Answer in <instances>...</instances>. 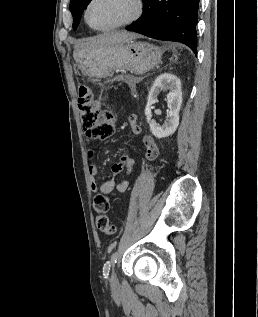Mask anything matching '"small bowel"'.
<instances>
[{"instance_id":"obj_1","label":"small bowel","mask_w":258,"mask_h":317,"mask_svg":"<svg viewBox=\"0 0 258 317\" xmlns=\"http://www.w3.org/2000/svg\"><path fill=\"white\" fill-rule=\"evenodd\" d=\"M128 123L132 128V131L141 137L145 153L144 156L147 160L153 161L158 157L159 150L158 146L153 139L152 136L145 134L141 127L137 123V116L131 115L128 119ZM87 137V136H86ZM89 140L90 138L87 137ZM88 158H89V175H90V187L93 192H100L103 194H108L112 192L114 189H116L118 192H125L128 190L129 182L128 180L124 179L115 183L114 180H107L102 183H98L96 180V176L98 174V167L96 163L94 162V151L93 149L88 150ZM135 167V161L131 158H129L127 155H123L119 162L113 164L112 166V172L113 174H119L121 171H125L127 175H130Z\"/></svg>"}]
</instances>
